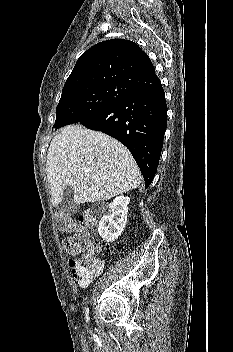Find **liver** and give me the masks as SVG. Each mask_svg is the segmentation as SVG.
<instances>
[{
  "instance_id": "1",
  "label": "liver",
  "mask_w": 233,
  "mask_h": 352,
  "mask_svg": "<svg viewBox=\"0 0 233 352\" xmlns=\"http://www.w3.org/2000/svg\"><path fill=\"white\" fill-rule=\"evenodd\" d=\"M46 172L53 206L61 202L65 186L73 188L75 203L83 204L110 199L141 182L140 170L123 144L81 125L67 126L53 138Z\"/></svg>"
}]
</instances>
